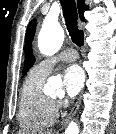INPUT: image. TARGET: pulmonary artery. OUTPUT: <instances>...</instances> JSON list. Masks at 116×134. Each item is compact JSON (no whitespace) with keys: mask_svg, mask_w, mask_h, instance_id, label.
I'll return each mask as SVG.
<instances>
[{"mask_svg":"<svg viewBox=\"0 0 116 134\" xmlns=\"http://www.w3.org/2000/svg\"><path fill=\"white\" fill-rule=\"evenodd\" d=\"M77 58L78 54L74 49H65L61 51L57 56L48 57L40 61L35 67L39 72L48 75L57 61L61 60L66 62H73L77 60Z\"/></svg>","mask_w":116,"mask_h":134,"instance_id":"1","label":"pulmonary artery"}]
</instances>
